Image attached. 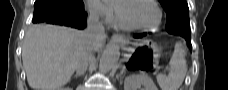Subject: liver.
<instances>
[{
    "mask_svg": "<svg viewBox=\"0 0 228 90\" xmlns=\"http://www.w3.org/2000/svg\"><path fill=\"white\" fill-rule=\"evenodd\" d=\"M106 36L95 41L99 50ZM86 45L84 31L52 25H34L25 35L22 61L34 90H59L74 73Z\"/></svg>",
    "mask_w": 228,
    "mask_h": 90,
    "instance_id": "6515ba94",
    "label": "liver"
}]
</instances>
